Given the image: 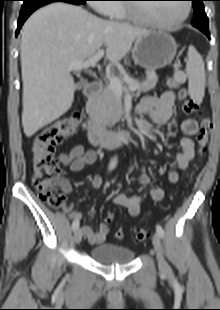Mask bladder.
Returning a JSON list of instances; mask_svg holds the SVG:
<instances>
[{"instance_id":"bladder-1","label":"bladder","mask_w":220,"mask_h":310,"mask_svg":"<svg viewBox=\"0 0 220 310\" xmlns=\"http://www.w3.org/2000/svg\"><path fill=\"white\" fill-rule=\"evenodd\" d=\"M90 256L100 264H128L134 258V251L122 245L105 243L91 248Z\"/></svg>"}]
</instances>
